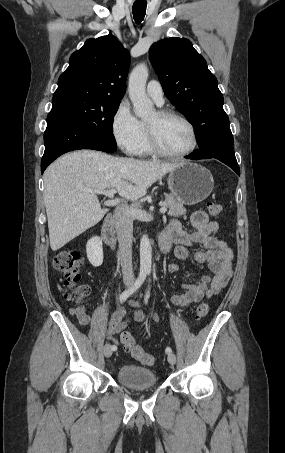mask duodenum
<instances>
[{
  "mask_svg": "<svg viewBox=\"0 0 285 453\" xmlns=\"http://www.w3.org/2000/svg\"><path fill=\"white\" fill-rule=\"evenodd\" d=\"M101 235L104 242L112 249H117V239L114 231L113 216L107 215L104 219V223L101 229ZM171 244L165 238L160 237L159 249L162 254L167 253L170 250Z\"/></svg>",
  "mask_w": 285,
  "mask_h": 453,
  "instance_id": "obj_1",
  "label": "duodenum"
}]
</instances>
